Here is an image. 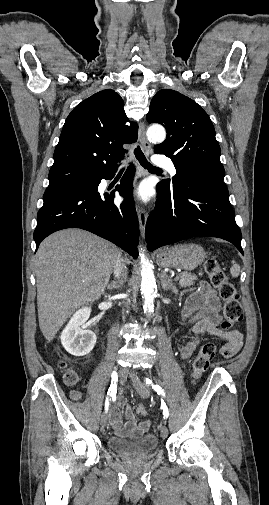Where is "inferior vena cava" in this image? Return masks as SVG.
Wrapping results in <instances>:
<instances>
[{"label":"inferior vena cava","instance_id":"obj_1","mask_svg":"<svg viewBox=\"0 0 269 505\" xmlns=\"http://www.w3.org/2000/svg\"><path fill=\"white\" fill-rule=\"evenodd\" d=\"M126 266L123 263V259L119 257L114 265V274L117 279H125L126 278Z\"/></svg>","mask_w":269,"mask_h":505}]
</instances>
